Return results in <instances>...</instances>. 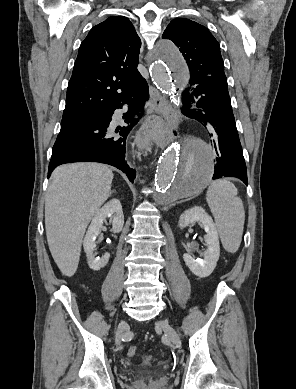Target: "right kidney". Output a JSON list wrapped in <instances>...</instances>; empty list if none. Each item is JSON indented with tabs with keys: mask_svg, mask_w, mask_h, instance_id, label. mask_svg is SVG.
I'll use <instances>...</instances> for the list:
<instances>
[{
	"mask_svg": "<svg viewBox=\"0 0 296 389\" xmlns=\"http://www.w3.org/2000/svg\"><path fill=\"white\" fill-rule=\"evenodd\" d=\"M106 218H110V223L112 224V230L114 233L121 232L124 225V215L121 203L118 199L114 198L108 201L96 212L86 232L83 247L86 253L88 265L94 271H99L101 268L105 267L110 258L109 253H106L101 258L95 257L94 255V251L96 249V238L100 234L103 228V222L106 221Z\"/></svg>",
	"mask_w": 296,
	"mask_h": 389,
	"instance_id": "1",
	"label": "right kidney"
}]
</instances>
